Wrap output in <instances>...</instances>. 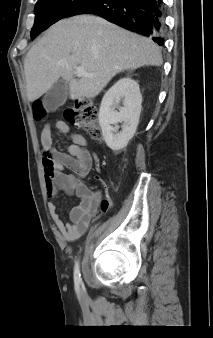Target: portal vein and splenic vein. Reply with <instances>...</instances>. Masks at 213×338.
Returning <instances> with one entry per match:
<instances>
[{"mask_svg":"<svg viewBox=\"0 0 213 338\" xmlns=\"http://www.w3.org/2000/svg\"><path fill=\"white\" fill-rule=\"evenodd\" d=\"M75 74L78 76V77H93L94 74H89L87 73L83 67H76L75 69Z\"/></svg>","mask_w":213,"mask_h":338,"instance_id":"1","label":"portal vein and splenic vein"}]
</instances>
